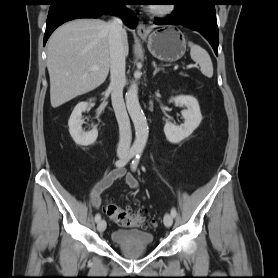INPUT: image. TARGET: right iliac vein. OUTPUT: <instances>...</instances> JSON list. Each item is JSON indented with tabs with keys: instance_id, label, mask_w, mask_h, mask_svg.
Instances as JSON below:
<instances>
[{
	"instance_id": "63e3f726",
	"label": "right iliac vein",
	"mask_w": 278,
	"mask_h": 278,
	"mask_svg": "<svg viewBox=\"0 0 278 278\" xmlns=\"http://www.w3.org/2000/svg\"><path fill=\"white\" fill-rule=\"evenodd\" d=\"M121 157L123 158V155ZM97 229L99 232H103L106 229V222L104 220H100L97 224Z\"/></svg>"
}]
</instances>
